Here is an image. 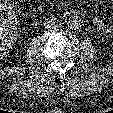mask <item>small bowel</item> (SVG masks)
I'll return each mask as SVG.
<instances>
[{
    "label": "small bowel",
    "mask_w": 113,
    "mask_h": 113,
    "mask_svg": "<svg viewBox=\"0 0 113 113\" xmlns=\"http://www.w3.org/2000/svg\"><path fill=\"white\" fill-rule=\"evenodd\" d=\"M93 24L104 34L113 36V25L105 23L100 17L93 16L92 17Z\"/></svg>",
    "instance_id": "obj_1"
}]
</instances>
